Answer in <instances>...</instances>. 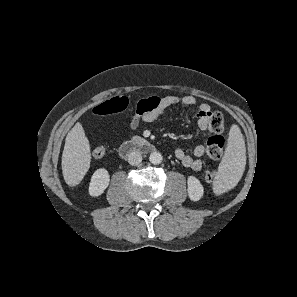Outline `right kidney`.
Wrapping results in <instances>:
<instances>
[{"label":"right kidney","mask_w":297,"mask_h":297,"mask_svg":"<svg viewBox=\"0 0 297 297\" xmlns=\"http://www.w3.org/2000/svg\"><path fill=\"white\" fill-rule=\"evenodd\" d=\"M109 182L110 176L106 169L101 168L96 170L89 184V194L94 197L101 195L108 187Z\"/></svg>","instance_id":"1"}]
</instances>
